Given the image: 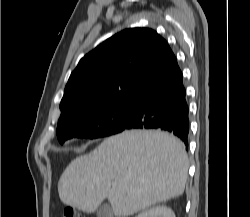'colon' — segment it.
I'll use <instances>...</instances> for the list:
<instances>
[{"label": "colon", "mask_w": 250, "mask_h": 217, "mask_svg": "<svg viewBox=\"0 0 250 217\" xmlns=\"http://www.w3.org/2000/svg\"><path fill=\"white\" fill-rule=\"evenodd\" d=\"M59 217H79L73 209L65 210L62 216Z\"/></svg>", "instance_id": "obj_1"}]
</instances>
